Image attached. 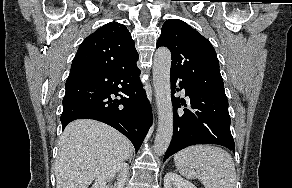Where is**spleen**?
<instances>
[{
  "label": "spleen",
  "instance_id": "obj_1",
  "mask_svg": "<svg viewBox=\"0 0 292 188\" xmlns=\"http://www.w3.org/2000/svg\"><path fill=\"white\" fill-rule=\"evenodd\" d=\"M174 162L181 175L199 179L205 188H235L233 159L218 146L199 144L187 147L174 155Z\"/></svg>",
  "mask_w": 292,
  "mask_h": 188
}]
</instances>
